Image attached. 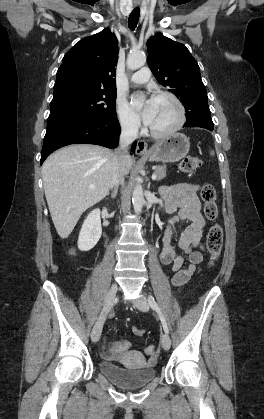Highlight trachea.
<instances>
[{
	"label": "trachea",
	"instance_id": "obj_1",
	"mask_svg": "<svg viewBox=\"0 0 264 419\" xmlns=\"http://www.w3.org/2000/svg\"><path fill=\"white\" fill-rule=\"evenodd\" d=\"M139 16H140V9L139 7H136L133 9L128 19V25L131 30H134L136 28L138 24Z\"/></svg>",
	"mask_w": 264,
	"mask_h": 419
}]
</instances>
